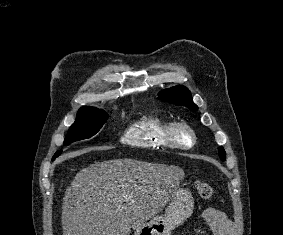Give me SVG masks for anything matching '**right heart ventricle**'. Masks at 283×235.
<instances>
[{
	"mask_svg": "<svg viewBox=\"0 0 283 235\" xmlns=\"http://www.w3.org/2000/svg\"><path fill=\"white\" fill-rule=\"evenodd\" d=\"M171 121L158 115H146L125 132L124 141L144 149L172 148L168 137Z\"/></svg>",
	"mask_w": 283,
	"mask_h": 235,
	"instance_id": "obj_1",
	"label": "right heart ventricle"
}]
</instances>
